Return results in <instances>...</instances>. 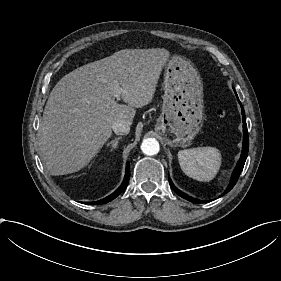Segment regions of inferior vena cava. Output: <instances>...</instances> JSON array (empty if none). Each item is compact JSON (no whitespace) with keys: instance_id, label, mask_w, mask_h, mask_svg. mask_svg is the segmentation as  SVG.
<instances>
[{"instance_id":"1","label":"inferior vena cava","mask_w":281,"mask_h":281,"mask_svg":"<svg viewBox=\"0 0 281 281\" xmlns=\"http://www.w3.org/2000/svg\"><path fill=\"white\" fill-rule=\"evenodd\" d=\"M112 130L117 135H126L130 131V123L125 120H118L113 123Z\"/></svg>"}]
</instances>
